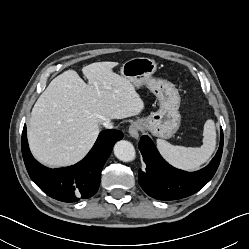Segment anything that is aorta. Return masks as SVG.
Wrapping results in <instances>:
<instances>
[{"instance_id":"aorta-1","label":"aorta","mask_w":249,"mask_h":249,"mask_svg":"<svg viewBox=\"0 0 249 249\" xmlns=\"http://www.w3.org/2000/svg\"><path fill=\"white\" fill-rule=\"evenodd\" d=\"M115 156L123 161L130 162L135 159V148L129 141L120 140L114 145Z\"/></svg>"}]
</instances>
